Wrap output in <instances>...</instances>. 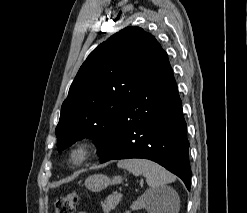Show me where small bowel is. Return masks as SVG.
Wrapping results in <instances>:
<instances>
[{"mask_svg": "<svg viewBox=\"0 0 247 213\" xmlns=\"http://www.w3.org/2000/svg\"><path fill=\"white\" fill-rule=\"evenodd\" d=\"M78 213H87V212H85V211H80V212H78Z\"/></svg>", "mask_w": 247, "mask_h": 213, "instance_id": "c3829d8e", "label": "small bowel"}]
</instances>
